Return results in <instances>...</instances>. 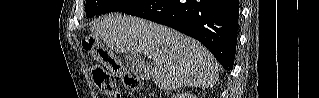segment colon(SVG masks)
Returning a JSON list of instances; mask_svg holds the SVG:
<instances>
[{
	"instance_id": "1",
	"label": "colon",
	"mask_w": 319,
	"mask_h": 98,
	"mask_svg": "<svg viewBox=\"0 0 319 98\" xmlns=\"http://www.w3.org/2000/svg\"><path fill=\"white\" fill-rule=\"evenodd\" d=\"M84 49L91 51L94 57L110 69V73L99 65H92L90 70L98 91L105 97L132 98L131 93H121L117 90L115 79L122 80L125 87L133 92L141 90L138 77L131 74L120 62L116 61L112 53L103 47L98 40L88 35L82 41Z\"/></svg>"
}]
</instances>
